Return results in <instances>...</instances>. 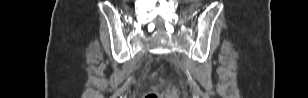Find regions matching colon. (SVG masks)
<instances>
[{"instance_id":"colon-1","label":"colon","mask_w":308,"mask_h":98,"mask_svg":"<svg viewBox=\"0 0 308 98\" xmlns=\"http://www.w3.org/2000/svg\"><path fill=\"white\" fill-rule=\"evenodd\" d=\"M167 96L170 98H179L180 92L177 88L171 87L167 93ZM163 94L157 91L148 92L144 98H162Z\"/></svg>"}]
</instances>
